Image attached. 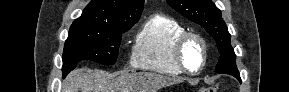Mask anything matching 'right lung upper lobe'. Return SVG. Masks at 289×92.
Masks as SVG:
<instances>
[{"mask_svg": "<svg viewBox=\"0 0 289 92\" xmlns=\"http://www.w3.org/2000/svg\"><path fill=\"white\" fill-rule=\"evenodd\" d=\"M143 4L144 0H92L72 25H134L141 16Z\"/></svg>", "mask_w": 289, "mask_h": 92, "instance_id": "right-lung-upper-lobe-1", "label": "right lung upper lobe"}]
</instances>
